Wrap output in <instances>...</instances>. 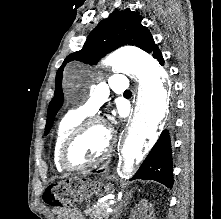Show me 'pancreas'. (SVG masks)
Returning a JSON list of instances; mask_svg holds the SVG:
<instances>
[{
  "instance_id": "obj_1",
  "label": "pancreas",
  "mask_w": 221,
  "mask_h": 219,
  "mask_svg": "<svg viewBox=\"0 0 221 219\" xmlns=\"http://www.w3.org/2000/svg\"><path fill=\"white\" fill-rule=\"evenodd\" d=\"M110 205L111 203L109 202H97L91 208L86 209L85 214L89 215L93 219H108L110 213L107 212V208H109Z\"/></svg>"
}]
</instances>
